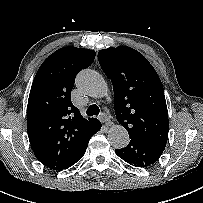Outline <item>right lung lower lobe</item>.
Returning a JSON list of instances; mask_svg holds the SVG:
<instances>
[{"label": "right lung lower lobe", "mask_w": 203, "mask_h": 203, "mask_svg": "<svg viewBox=\"0 0 203 203\" xmlns=\"http://www.w3.org/2000/svg\"><path fill=\"white\" fill-rule=\"evenodd\" d=\"M100 128H101V123H100V121H98V124H97L96 127H95V130H94L93 135H94L97 131H99ZM90 138H91V137H90ZM90 138H89V139H90ZM89 139L85 142V144L83 145V147L81 148V150L78 152V154L76 155V157L74 158V160L70 163V165H69L67 168L71 167V166L74 165L80 158H82V156L85 154V151H86V149H87Z\"/></svg>", "instance_id": "1"}]
</instances>
